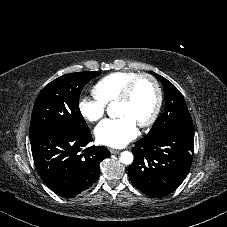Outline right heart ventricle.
Instances as JSON below:
<instances>
[{
  "label": "right heart ventricle",
  "instance_id": "e07e8e85",
  "mask_svg": "<svg viewBox=\"0 0 227 227\" xmlns=\"http://www.w3.org/2000/svg\"><path fill=\"white\" fill-rule=\"evenodd\" d=\"M137 74L131 71L113 72L100 79L93 91L105 105L116 102L127 83Z\"/></svg>",
  "mask_w": 227,
  "mask_h": 227
}]
</instances>
